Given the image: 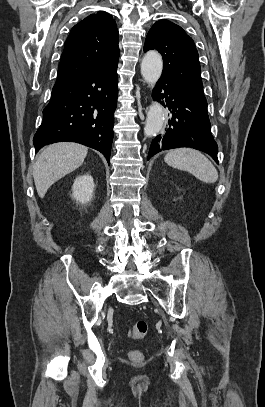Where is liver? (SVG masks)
I'll list each match as a JSON object with an SVG mask.
<instances>
[{"mask_svg": "<svg viewBox=\"0 0 265 407\" xmlns=\"http://www.w3.org/2000/svg\"><path fill=\"white\" fill-rule=\"evenodd\" d=\"M87 153V147L72 142L55 143L44 148L33 171L39 197L43 198L55 182L81 166Z\"/></svg>", "mask_w": 265, "mask_h": 407, "instance_id": "1", "label": "liver"}]
</instances>
